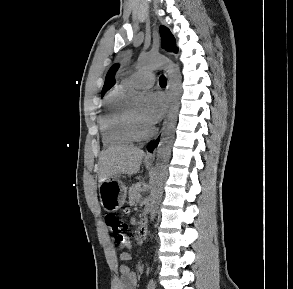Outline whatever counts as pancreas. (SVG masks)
<instances>
[{"label": "pancreas", "mask_w": 293, "mask_h": 289, "mask_svg": "<svg viewBox=\"0 0 293 289\" xmlns=\"http://www.w3.org/2000/svg\"><path fill=\"white\" fill-rule=\"evenodd\" d=\"M140 188H141V184L137 183L134 184L133 186H131L129 188V200L130 201H136L140 195Z\"/></svg>", "instance_id": "cf45deb5"}]
</instances>
